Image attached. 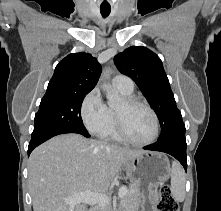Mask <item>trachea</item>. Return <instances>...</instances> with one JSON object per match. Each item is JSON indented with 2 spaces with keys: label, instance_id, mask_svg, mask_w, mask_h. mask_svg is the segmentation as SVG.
<instances>
[{
  "label": "trachea",
  "instance_id": "obj_1",
  "mask_svg": "<svg viewBox=\"0 0 221 211\" xmlns=\"http://www.w3.org/2000/svg\"><path fill=\"white\" fill-rule=\"evenodd\" d=\"M110 12H111V8H100V13L103 18H106L107 16H109Z\"/></svg>",
  "mask_w": 221,
  "mask_h": 211
}]
</instances>
